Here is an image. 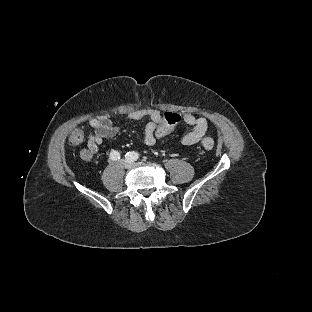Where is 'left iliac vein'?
<instances>
[{
  "instance_id": "left-iliac-vein-1",
  "label": "left iliac vein",
  "mask_w": 312,
  "mask_h": 312,
  "mask_svg": "<svg viewBox=\"0 0 312 312\" xmlns=\"http://www.w3.org/2000/svg\"><path fill=\"white\" fill-rule=\"evenodd\" d=\"M140 165H142L141 162H135V163H133V166H140Z\"/></svg>"
}]
</instances>
